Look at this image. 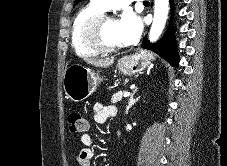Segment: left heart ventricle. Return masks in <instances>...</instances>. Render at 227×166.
I'll list each match as a JSON object with an SVG mask.
<instances>
[{"label":"left heart ventricle","instance_id":"left-heart-ventricle-1","mask_svg":"<svg viewBox=\"0 0 227 166\" xmlns=\"http://www.w3.org/2000/svg\"><path fill=\"white\" fill-rule=\"evenodd\" d=\"M100 40L107 46L122 44L118 34V22L114 18L107 19L100 28Z\"/></svg>","mask_w":227,"mask_h":166}]
</instances>
